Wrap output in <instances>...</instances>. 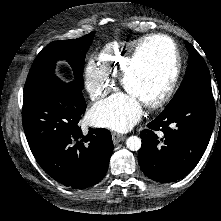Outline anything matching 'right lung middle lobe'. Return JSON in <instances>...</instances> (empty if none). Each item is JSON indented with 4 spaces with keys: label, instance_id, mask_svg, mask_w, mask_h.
Masks as SVG:
<instances>
[{
    "label": "right lung middle lobe",
    "instance_id": "obj_1",
    "mask_svg": "<svg viewBox=\"0 0 221 221\" xmlns=\"http://www.w3.org/2000/svg\"><path fill=\"white\" fill-rule=\"evenodd\" d=\"M94 35L95 32H91L78 39L54 41L43 48L28 74L24 96L36 90L44 80L56 77L54 68L58 60H65L71 65L75 76L74 82L83 88L84 60Z\"/></svg>",
    "mask_w": 221,
    "mask_h": 221
}]
</instances>
